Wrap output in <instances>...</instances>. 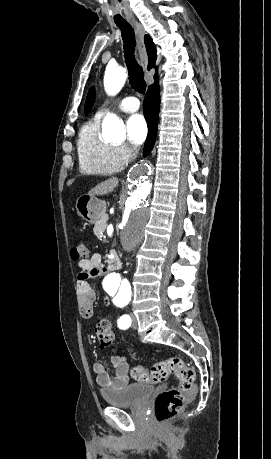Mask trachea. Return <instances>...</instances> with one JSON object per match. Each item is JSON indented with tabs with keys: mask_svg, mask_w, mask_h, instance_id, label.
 Here are the masks:
<instances>
[{
	"mask_svg": "<svg viewBox=\"0 0 271 459\" xmlns=\"http://www.w3.org/2000/svg\"><path fill=\"white\" fill-rule=\"evenodd\" d=\"M121 30L123 39V50L126 66L128 69L129 83L139 93H145L146 82L144 80L143 68L138 64L135 52V34L130 24L117 25Z\"/></svg>",
	"mask_w": 271,
	"mask_h": 459,
	"instance_id": "trachea-1",
	"label": "trachea"
}]
</instances>
